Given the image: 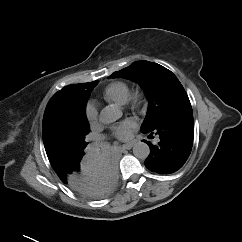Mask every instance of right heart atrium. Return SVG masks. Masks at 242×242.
I'll return each mask as SVG.
<instances>
[{
  "mask_svg": "<svg viewBox=\"0 0 242 242\" xmlns=\"http://www.w3.org/2000/svg\"><path fill=\"white\" fill-rule=\"evenodd\" d=\"M85 116L90 124H94L98 119V110L94 104L88 103L85 107Z\"/></svg>",
  "mask_w": 242,
  "mask_h": 242,
  "instance_id": "1",
  "label": "right heart atrium"
}]
</instances>
